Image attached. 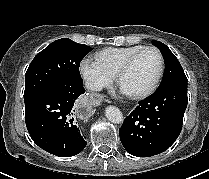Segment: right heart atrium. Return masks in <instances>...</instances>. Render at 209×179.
<instances>
[{"instance_id": "right-heart-atrium-1", "label": "right heart atrium", "mask_w": 209, "mask_h": 179, "mask_svg": "<svg viewBox=\"0 0 209 179\" xmlns=\"http://www.w3.org/2000/svg\"><path fill=\"white\" fill-rule=\"evenodd\" d=\"M80 72L89 89L99 91L111 84L112 78L105 74L95 61L84 59L80 63Z\"/></svg>"}]
</instances>
